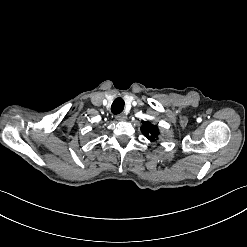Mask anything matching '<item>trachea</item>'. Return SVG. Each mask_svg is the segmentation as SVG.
Segmentation results:
<instances>
[{"label":"trachea","mask_w":247,"mask_h":247,"mask_svg":"<svg viewBox=\"0 0 247 247\" xmlns=\"http://www.w3.org/2000/svg\"><path fill=\"white\" fill-rule=\"evenodd\" d=\"M125 106V102L122 98H116L111 106V111L114 115L120 114Z\"/></svg>","instance_id":"trachea-1"}]
</instances>
